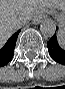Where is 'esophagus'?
I'll use <instances>...</instances> for the list:
<instances>
[{
	"mask_svg": "<svg viewBox=\"0 0 65 89\" xmlns=\"http://www.w3.org/2000/svg\"><path fill=\"white\" fill-rule=\"evenodd\" d=\"M45 18V15L43 13H38L32 20L33 24H39L43 19Z\"/></svg>",
	"mask_w": 65,
	"mask_h": 89,
	"instance_id": "esophagus-1",
	"label": "esophagus"
}]
</instances>
